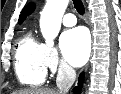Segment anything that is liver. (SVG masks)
I'll list each match as a JSON object with an SVG mask.
<instances>
[{"instance_id": "6515ba94", "label": "liver", "mask_w": 121, "mask_h": 94, "mask_svg": "<svg viewBox=\"0 0 121 94\" xmlns=\"http://www.w3.org/2000/svg\"><path fill=\"white\" fill-rule=\"evenodd\" d=\"M18 94H60L58 91L50 88H32L18 92Z\"/></svg>"}]
</instances>
